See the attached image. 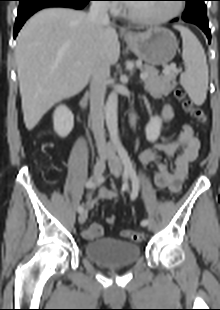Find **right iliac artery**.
<instances>
[{
    "label": "right iliac artery",
    "mask_w": 220,
    "mask_h": 310,
    "mask_svg": "<svg viewBox=\"0 0 220 310\" xmlns=\"http://www.w3.org/2000/svg\"><path fill=\"white\" fill-rule=\"evenodd\" d=\"M95 186V183L92 181V180H89L87 183H86V187L87 188H93ZM83 207L82 206H79L78 207V212L81 213L83 211Z\"/></svg>",
    "instance_id": "82829eb1"
}]
</instances>
